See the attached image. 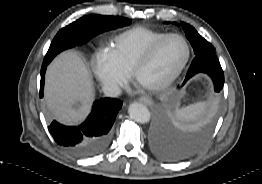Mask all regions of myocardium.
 Masks as SVG:
<instances>
[{"label":"myocardium","instance_id":"obj_1","mask_svg":"<svg viewBox=\"0 0 262 184\" xmlns=\"http://www.w3.org/2000/svg\"><path fill=\"white\" fill-rule=\"evenodd\" d=\"M176 37L183 41L185 47H186V56L181 63V65L177 68V70L168 77L165 81L158 83V84H147L144 85L139 81V74L140 72L151 62L155 52L157 51L158 47L168 38ZM191 56V47L188 42V40L179 33H166L162 35L160 38L155 40L141 55V57L137 60L135 63L132 71L131 76L134 79L136 83H138L142 88L148 91L158 92L163 91L167 89L169 86H171L181 75L185 67L187 66L189 59Z\"/></svg>","mask_w":262,"mask_h":184}]
</instances>
